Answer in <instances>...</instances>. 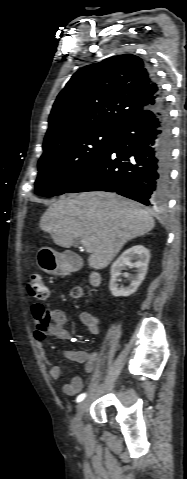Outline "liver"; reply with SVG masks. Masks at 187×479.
<instances>
[{
    "mask_svg": "<svg viewBox=\"0 0 187 479\" xmlns=\"http://www.w3.org/2000/svg\"><path fill=\"white\" fill-rule=\"evenodd\" d=\"M154 226L149 210L108 192L62 197L40 220L41 230L58 246L70 248L78 239L88 240V263L96 270L106 268L128 241L147 234Z\"/></svg>",
    "mask_w": 187,
    "mask_h": 479,
    "instance_id": "obj_1",
    "label": "liver"
}]
</instances>
